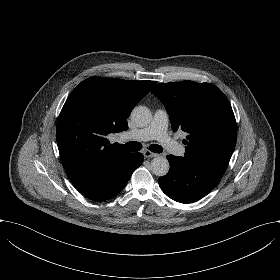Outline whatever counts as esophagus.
Wrapping results in <instances>:
<instances>
[{
  "instance_id": "obj_1",
  "label": "esophagus",
  "mask_w": 280,
  "mask_h": 280,
  "mask_svg": "<svg viewBox=\"0 0 280 280\" xmlns=\"http://www.w3.org/2000/svg\"><path fill=\"white\" fill-rule=\"evenodd\" d=\"M143 155L146 157V158H150V157H156L157 154L152 152V151H149V150H145L143 152Z\"/></svg>"
}]
</instances>
